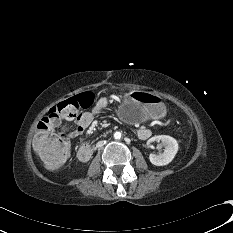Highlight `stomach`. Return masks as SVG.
<instances>
[{"label":"stomach","mask_w":233,"mask_h":233,"mask_svg":"<svg viewBox=\"0 0 233 233\" xmlns=\"http://www.w3.org/2000/svg\"><path fill=\"white\" fill-rule=\"evenodd\" d=\"M165 114L166 107L161 98L145 91L131 92L118 110V116L126 123H140Z\"/></svg>","instance_id":"stomach-1"}]
</instances>
